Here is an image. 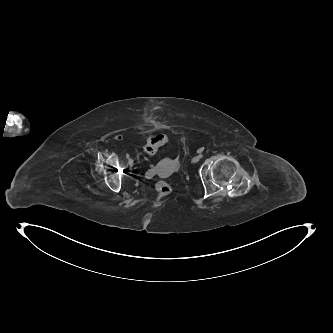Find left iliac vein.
Wrapping results in <instances>:
<instances>
[{
    "mask_svg": "<svg viewBox=\"0 0 333 333\" xmlns=\"http://www.w3.org/2000/svg\"><path fill=\"white\" fill-rule=\"evenodd\" d=\"M199 160H200V156H195V157L192 159V162H193V163H197Z\"/></svg>",
    "mask_w": 333,
    "mask_h": 333,
    "instance_id": "1",
    "label": "left iliac vein"
}]
</instances>
